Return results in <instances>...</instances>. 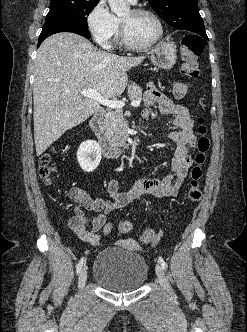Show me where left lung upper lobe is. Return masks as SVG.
<instances>
[{
	"label": "left lung upper lobe",
	"mask_w": 247,
	"mask_h": 332,
	"mask_svg": "<svg viewBox=\"0 0 247 332\" xmlns=\"http://www.w3.org/2000/svg\"><path fill=\"white\" fill-rule=\"evenodd\" d=\"M148 2L171 26L208 39L197 0H148Z\"/></svg>",
	"instance_id": "left-lung-upper-lobe-1"
}]
</instances>
